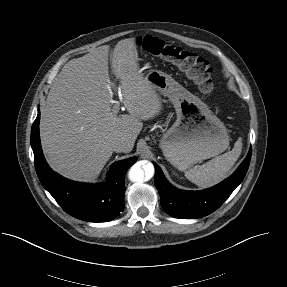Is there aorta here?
Masks as SVG:
<instances>
[{
	"instance_id": "obj_1",
	"label": "aorta",
	"mask_w": 287,
	"mask_h": 287,
	"mask_svg": "<svg viewBox=\"0 0 287 287\" xmlns=\"http://www.w3.org/2000/svg\"><path fill=\"white\" fill-rule=\"evenodd\" d=\"M154 174V166L151 163L138 162L134 164L128 173V178L132 182H142L146 177H152Z\"/></svg>"
}]
</instances>
